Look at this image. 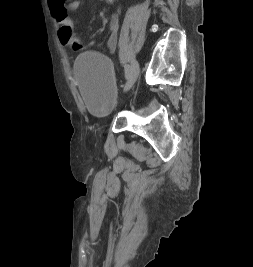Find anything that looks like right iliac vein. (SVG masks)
<instances>
[{"mask_svg": "<svg viewBox=\"0 0 253 267\" xmlns=\"http://www.w3.org/2000/svg\"><path fill=\"white\" fill-rule=\"evenodd\" d=\"M138 73H139V66H138V63L134 61L131 65L130 73H129V76L126 82V86L124 88L125 92H127L128 90L132 88L135 81L137 80Z\"/></svg>", "mask_w": 253, "mask_h": 267, "instance_id": "obj_1", "label": "right iliac vein"}]
</instances>
